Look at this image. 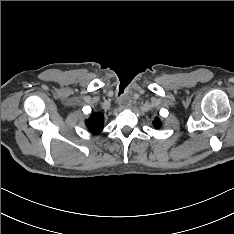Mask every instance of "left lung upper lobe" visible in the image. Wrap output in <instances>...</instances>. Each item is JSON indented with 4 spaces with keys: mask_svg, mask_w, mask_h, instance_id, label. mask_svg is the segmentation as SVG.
<instances>
[{
    "mask_svg": "<svg viewBox=\"0 0 234 234\" xmlns=\"http://www.w3.org/2000/svg\"><path fill=\"white\" fill-rule=\"evenodd\" d=\"M153 126L154 128L156 129H159L161 127V122L158 118H155L154 121H153Z\"/></svg>",
    "mask_w": 234,
    "mask_h": 234,
    "instance_id": "5c2ea615",
    "label": "left lung upper lobe"
}]
</instances>
